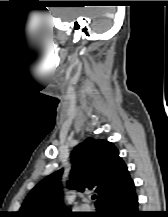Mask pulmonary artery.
<instances>
[{
	"mask_svg": "<svg viewBox=\"0 0 168 217\" xmlns=\"http://www.w3.org/2000/svg\"><path fill=\"white\" fill-rule=\"evenodd\" d=\"M83 208H87L85 205H83Z\"/></svg>",
	"mask_w": 168,
	"mask_h": 217,
	"instance_id": "e3ab8cb5",
	"label": "pulmonary artery"
}]
</instances>
